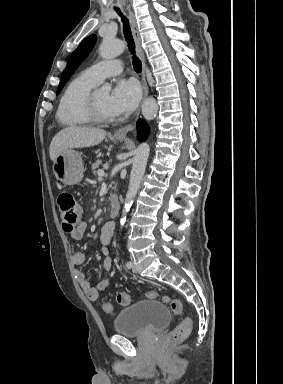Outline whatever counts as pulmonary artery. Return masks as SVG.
<instances>
[{
	"instance_id": "obj_1",
	"label": "pulmonary artery",
	"mask_w": 283,
	"mask_h": 384,
	"mask_svg": "<svg viewBox=\"0 0 283 384\" xmlns=\"http://www.w3.org/2000/svg\"><path fill=\"white\" fill-rule=\"evenodd\" d=\"M126 67L123 61H101L85 70L87 76L95 83L100 82L108 76L119 75Z\"/></svg>"
}]
</instances>
